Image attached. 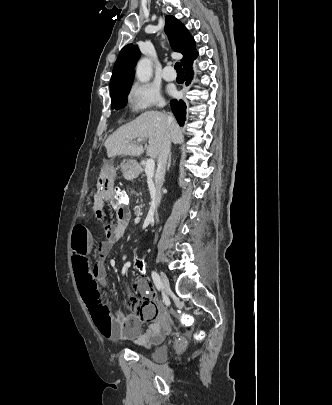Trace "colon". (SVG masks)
I'll return each mask as SVG.
<instances>
[{"label": "colon", "mask_w": 332, "mask_h": 405, "mask_svg": "<svg viewBox=\"0 0 332 405\" xmlns=\"http://www.w3.org/2000/svg\"><path fill=\"white\" fill-rule=\"evenodd\" d=\"M111 189L113 192V197L111 199L109 210L110 212H124L125 208L129 206L128 196L122 184H111ZM144 258H133L132 265L136 270H140L141 273L147 272V267L145 266ZM103 301V299H102ZM87 309V305H86ZM181 322L185 328H190L192 326V317L190 315H183L181 317Z\"/></svg>", "instance_id": "1"}]
</instances>
